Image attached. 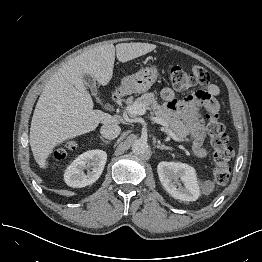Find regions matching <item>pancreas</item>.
<instances>
[{"label":"pancreas","instance_id":"1","mask_svg":"<svg viewBox=\"0 0 262 262\" xmlns=\"http://www.w3.org/2000/svg\"><path fill=\"white\" fill-rule=\"evenodd\" d=\"M133 104H143L147 108H150L154 114L162 119L167 127L181 140L183 141L188 135V131L184 123L171 116L169 111L156 101L154 93H145L141 97L137 98ZM132 104V105H133ZM199 148L193 147V152L197 154Z\"/></svg>","mask_w":262,"mask_h":262}]
</instances>
